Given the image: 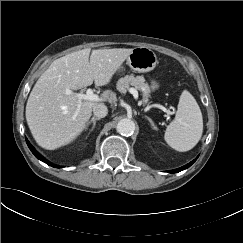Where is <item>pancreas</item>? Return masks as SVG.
Wrapping results in <instances>:
<instances>
[{"mask_svg":"<svg viewBox=\"0 0 243 243\" xmlns=\"http://www.w3.org/2000/svg\"><path fill=\"white\" fill-rule=\"evenodd\" d=\"M133 86L136 90L142 91L143 102L148 103V97L150 94V87L145 83V79L142 76L126 75L117 81V90L121 93H126L127 90Z\"/></svg>","mask_w":243,"mask_h":243,"instance_id":"obj_1","label":"pancreas"}]
</instances>
